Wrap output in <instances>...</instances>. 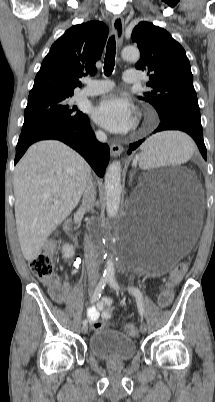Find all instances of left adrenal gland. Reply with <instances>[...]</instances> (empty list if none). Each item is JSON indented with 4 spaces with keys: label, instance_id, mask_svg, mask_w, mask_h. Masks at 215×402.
Wrapping results in <instances>:
<instances>
[{
    "label": "left adrenal gland",
    "instance_id": "a2214340",
    "mask_svg": "<svg viewBox=\"0 0 215 402\" xmlns=\"http://www.w3.org/2000/svg\"><path fill=\"white\" fill-rule=\"evenodd\" d=\"M133 173H130V184L132 182Z\"/></svg>",
    "mask_w": 215,
    "mask_h": 402
}]
</instances>
